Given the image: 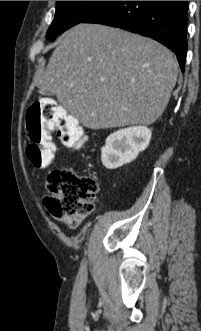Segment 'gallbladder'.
Returning a JSON list of instances; mask_svg holds the SVG:
<instances>
[{"mask_svg": "<svg viewBox=\"0 0 201 331\" xmlns=\"http://www.w3.org/2000/svg\"><path fill=\"white\" fill-rule=\"evenodd\" d=\"M40 94L43 95V96H52L53 95V93H51V92H49L48 90H45V89H41Z\"/></svg>", "mask_w": 201, "mask_h": 331, "instance_id": "obj_1", "label": "gallbladder"}]
</instances>
